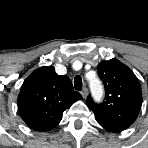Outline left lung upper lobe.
<instances>
[{
	"instance_id": "obj_1",
	"label": "left lung upper lobe",
	"mask_w": 148,
	"mask_h": 148,
	"mask_svg": "<svg viewBox=\"0 0 148 148\" xmlns=\"http://www.w3.org/2000/svg\"><path fill=\"white\" fill-rule=\"evenodd\" d=\"M97 72L104 83L105 101L97 104L88 96L86 104L104 129L123 131L136 120L141 109L139 80L129 67L116 58L100 62Z\"/></svg>"
}]
</instances>
